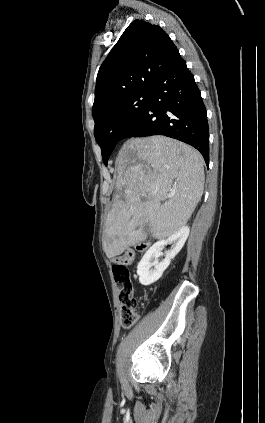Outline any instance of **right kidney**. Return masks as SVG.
I'll return each mask as SVG.
<instances>
[{
  "label": "right kidney",
  "mask_w": 265,
  "mask_h": 423,
  "mask_svg": "<svg viewBox=\"0 0 265 423\" xmlns=\"http://www.w3.org/2000/svg\"><path fill=\"white\" fill-rule=\"evenodd\" d=\"M189 232V227L184 226L166 240H160L149 248L137 266L139 282L142 285L148 286L156 282L162 276L163 272L170 265L171 260L184 246L189 236ZM168 244L172 245L171 249L166 253L165 259L162 262H158L157 259L161 255L163 247ZM152 267H154V269H151Z\"/></svg>",
  "instance_id": "obj_1"
}]
</instances>
